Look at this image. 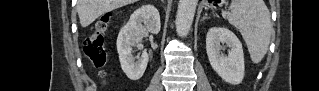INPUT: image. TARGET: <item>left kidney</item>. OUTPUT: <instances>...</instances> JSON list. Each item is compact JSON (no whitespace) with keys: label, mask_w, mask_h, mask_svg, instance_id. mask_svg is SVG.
I'll return each instance as SVG.
<instances>
[{"label":"left kidney","mask_w":319,"mask_h":91,"mask_svg":"<svg viewBox=\"0 0 319 91\" xmlns=\"http://www.w3.org/2000/svg\"><path fill=\"white\" fill-rule=\"evenodd\" d=\"M221 44L230 48L222 53ZM206 52L214 71L227 83L237 85L244 78V53L237 36L224 27H212L206 35Z\"/></svg>","instance_id":"obj_1"}]
</instances>
